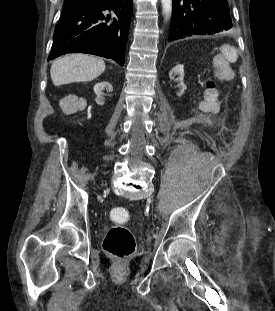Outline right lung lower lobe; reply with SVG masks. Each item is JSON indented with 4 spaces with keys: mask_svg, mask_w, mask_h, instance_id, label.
Listing matches in <instances>:
<instances>
[{
    "mask_svg": "<svg viewBox=\"0 0 275 311\" xmlns=\"http://www.w3.org/2000/svg\"><path fill=\"white\" fill-rule=\"evenodd\" d=\"M131 15L132 0H80L65 5L48 60L82 52L123 66Z\"/></svg>",
    "mask_w": 275,
    "mask_h": 311,
    "instance_id": "98d812e1",
    "label": "right lung lower lobe"
}]
</instances>
